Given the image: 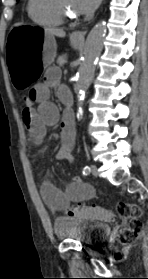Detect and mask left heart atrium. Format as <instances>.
Instances as JSON below:
<instances>
[{
	"label": "left heart atrium",
	"instance_id": "obj_1",
	"mask_svg": "<svg viewBox=\"0 0 148 279\" xmlns=\"http://www.w3.org/2000/svg\"><path fill=\"white\" fill-rule=\"evenodd\" d=\"M101 0H74L77 13L89 15L95 11Z\"/></svg>",
	"mask_w": 148,
	"mask_h": 279
}]
</instances>
